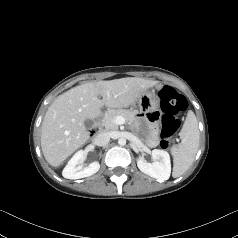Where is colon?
<instances>
[{
    "label": "colon",
    "instance_id": "5ec220e1",
    "mask_svg": "<svg viewBox=\"0 0 238 238\" xmlns=\"http://www.w3.org/2000/svg\"><path fill=\"white\" fill-rule=\"evenodd\" d=\"M159 98L163 115L160 145L163 149H167L170 145L169 139L180 127L178 116L186 110L188 104L186 98L171 86L162 87Z\"/></svg>",
    "mask_w": 238,
    "mask_h": 238
}]
</instances>
